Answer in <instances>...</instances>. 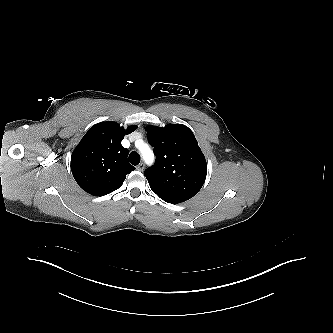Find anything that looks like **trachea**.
I'll list each match as a JSON object with an SVG mask.
<instances>
[{"instance_id":"1","label":"trachea","mask_w":333,"mask_h":333,"mask_svg":"<svg viewBox=\"0 0 333 333\" xmlns=\"http://www.w3.org/2000/svg\"><path fill=\"white\" fill-rule=\"evenodd\" d=\"M129 162L132 165H135V166L138 165L140 162V155L135 151L131 152L129 155Z\"/></svg>"}]
</instances>
